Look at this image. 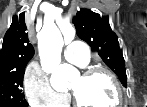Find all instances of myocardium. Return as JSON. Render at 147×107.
Wrapping results in <instances>:
<instances>
[{
    "label": "myocardium",
    "mask_w": 147,
    "mask_h": 107,
    "mask_svg": "<svg viewBox=\"0 0 147 107\" xmlns=\"http://www.w3.org/2000/svg\"><path fill=\"white\" fill-rule=\"evenodd\" d=\"M98 74H103V75L107 76L112 81V83L115 87L116 100H115V103L111 107L120 106L123 102L122 85H121L120 81L118 80L117 76L113 72H111L110 70L103 68V67H91V68L86 69L83 72L82 77L83 78H91V77L98 75ZM73 104L75 107H88L85 104H83L82 102H80V100L77 98V96L74 93H73Z\"/></svg>",
    "instance_id": "f54148a6"
}]
</instances>
